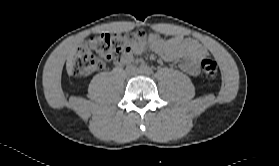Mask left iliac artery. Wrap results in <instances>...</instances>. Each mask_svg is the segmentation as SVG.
<instances>
[{"mask_svg":"<svg viewBox=\"0 0 279 166\" xmlns=\"http://www.w3.org/2000/svg\"><path fill=\"white\" fill-rule=\"evenodd\" d=\"M147 73H148V74H151V73H152V70H151V69H147Z\"/></svg>","mask_w":279,"mask_h":166,"instance_id":"obj_1","label":"left iliac artery"}]
</instances>
